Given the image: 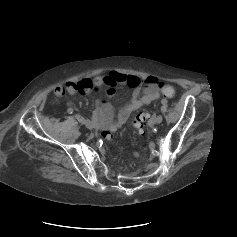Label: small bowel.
<instances>
[{"label":"small bowel","mask_w":237,"mask_h":237,"mask_svg":"<svg viewBox=\"0 0 237 237\" xmlns=\"http://www.w3.org/2000/svg\"><path fill=\"white\" fill-rule=\"evenodd\" d=\"M117 85H127L133 89L131 100L119 110L117 116L113 117V108L111 104L105 101H96L93 112L94 121L98 126L116 131L133 111L159 98L160 81L156 77L150 76L140 79L135 76L112 72L105 77L83 79L78 82L58 85L54 89V94L60 97L65 93L87 95L91 92L104 91L111 96L115 93Z\"/></svg>","instance_id":"c3829d8e"}]
</instances>
